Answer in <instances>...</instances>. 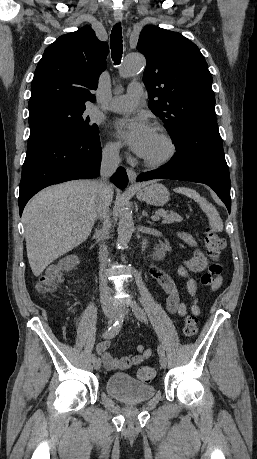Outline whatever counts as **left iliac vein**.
<instances>
[{
	"instance_id": "4c4485c4",
	"label": "left iliac vein",
	"mask_w": 257,
	"mask_h": 459,
	"mask_svg": "<svg viewBox=\"0 0 257 459\" xmlns=\"http://www.w3.org/2000/svg\"><path fill=\"white\" fill-rule=\"evenodd\" d=\"M115 314H116V319H123L127 317V315L129 314V310L122 308L121 310H117ZM159 362L162 368H166L167 358L165 355L160 356Z\"/></svg>"
}]
</instances>
